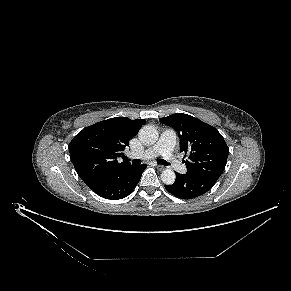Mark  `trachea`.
I'll return each instance as SVG.
<instances>
[{"label":"trachea","instance_id":"3493384b","mask_svg":"<svg viewBox=\"0 0 291 291\" xmlns=\"http://www.w3.org/2000/svg\"><path fill=\"white\" fill-rule=\"evenodd\" d=\"M128 161H129V159H127ZM159 164H161V165H169V163L167 162V161H165V160H163V159H160V160H158L157 161ZM132 164L133 165H140L141 164V161L140 160H138V159H134L133 161H132Z\"/></svg>","mask_w":291,"mask_h":291}]
</instances>
